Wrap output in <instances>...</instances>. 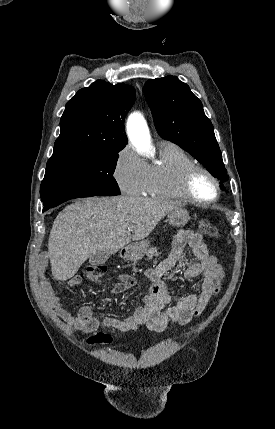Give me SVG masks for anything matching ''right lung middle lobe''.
Returning a JSON list of instances; mask_svg holds the SVG:
<instances>
[{"mask_svg":"<svg viewBox=\"0 0 275 429\" xmlns=\"http://www.w3.org/2000/svg\"><path fill=\"white\" fill-rule=\"evenodd\" d=\"M118 150H76L53 153L41 183L43 202L65 194L119 195L113 173Z\"/></svg>","mask_w":275,"mask_h":429,"instance_id":"right-lung-middle-lobe-1","label":"right lung middle lobe"}]
</instances>
